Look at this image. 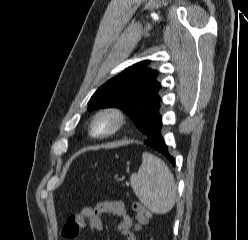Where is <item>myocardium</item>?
I'll list each match as a JSON object with an SVG mask.
<instances>
[{"instance_id":"f54148a6","label":"myocardium","mask_w":248,"mask_h":240,"mask_svg":"<svg viewBox=\"0 0 248 240\" xmlns=\"http://www.w3.org/2000/svg\"><path fill=\"white\" fill-rule=\"evenodd\" d=\"M101 116L112 117L114 119V125L108 131L97 133L95 131V123L97 119ZM125 122H126V115L121 109L115 106H106V107L99 109L94 114L91 120V124H90V131H91V134L95 137H109V136L114 135L116 132H118L124 126Z\"/></svg>"}]
</instances>
